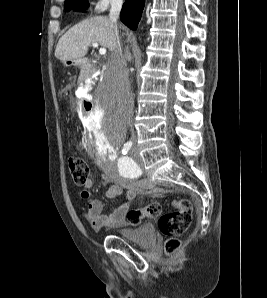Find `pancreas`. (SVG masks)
I'll return each instance as SVG.
<instances>
[{
	"instance_id": "obj_1",
	"label": "pancreas",
	"mask_w": 267,
	"mask_h": 298,
	"mask_svg": "<svg viewBox=\"0 0 267 298\" xmlns=\"http://www.w3.org/2000/svg\"><path fill=\"white\" fill-rule=\"evenodd\" d=\"M96 70H97L96 68L91 67L87 72L82 74L81 78L86 79L90 77Z\"/></svg>"
}]
</instances>
